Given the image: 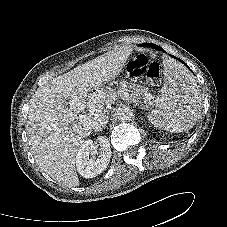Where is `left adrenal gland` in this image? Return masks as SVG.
Segmentation results:
<instances>
[{
  "instance_id": "1",
  "label": "left adrenal gland",
  "mask_w": 227,
  "mask_h": 227,
  "mask_svg": "<svg viewBox=\"0 0 227 227\" xmlns=\"http://www.w3.org/2000/svg\"><path fill=\"white\" fill-rule=\"evenodd\" d=\"M132 101H133V103H136V104H137V102H138L136 99H133Z\"/></svg>"
}]
</instances>
